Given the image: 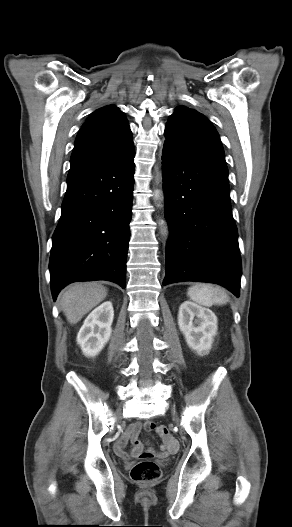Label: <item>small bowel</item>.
Wrapping results in <instances>:
<instances>
[{
	"label": "small bowel",
	"mask_w": 292,
	"mask_h": 527,
	"mask_svg": "<svg viewBox=\"0 0 292 527\" xmlns=\"http://www.w3.org/2000/svg\"><path fill=\"white\" fill-rule=\"evenodd\" d=\"M144 428V426H143ZM142 426L140 424L130 425L121 438L116 442L114 450L118 456L127 459L128 454L125 451V447L128 442L133 445L132 455L135 457H145L147 460H153L155 453L153 450H145L143 445L138 440V434ZM154 431L159 432L162 437V444L160 445V451L157 454L159 460L164 461L166 459L171 460L174 457V452L177 450V441L168 433L169 429L167 426H162L160 423H156L153 426Z\"/></svg>",
	"instance_id": "c3829d8e"
}]
</instances>
